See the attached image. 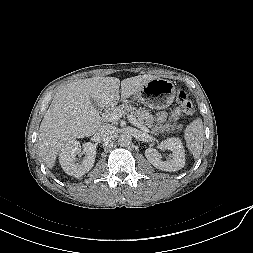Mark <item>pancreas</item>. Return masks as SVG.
<instances>
[{
  "instance_id": "pancreas-1",
  "label": "pancreas",
  "mask_w": 253,
  "mask_h": 253,
  "mask_svg": "<svg viewBox=\"0 0 253 253\" xmlns=\"http://www.w3.org/2000/svg\"><path fill=\"white\" fill-rule=\"evenodd\" d=\"M114 111L121 114L123 117L128 115H133L136 120L143 126H147L151 128V133L157 134L158 132H174L175 130L180 131L182 128V125H177L176 123L173 124H166L164 126H154V117L150 113L148 109L145 108H136L132 106L131 104L124 103L122 105H119L114 108Z\"/></svg>"
}]
</instances>
